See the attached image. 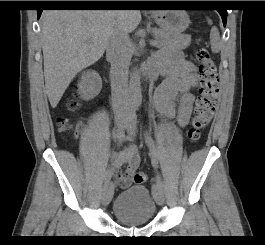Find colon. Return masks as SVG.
<instances>
[{
	"mask_svg": "<svg viewBox=\"0 0 265 245\" xmlns=\"http://www.w3.org/2000/svg\"><path fill=\"white\" fill-rule=\"evenodd\" d=\"M196 62L200 77V90L194 112L192 115L191 125L188 129V138L191 142H197L202 131L209 124L216 107V101L219 94V80L217 67L210 53L203 47L196 48ZM80 94L77 89L72 92V97L68 102V108L72 112L79 110ZM59 125L65 127L67 120L59 119ZM147 180V174L140 172L134 175L136 184L144 183Z\"/></svg>",
	"mask_w": 265,
	"mask_h": 245,
	"instance_id": "colon-1",
	"label": "colon"
}]
</instances>
